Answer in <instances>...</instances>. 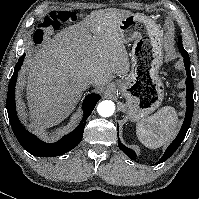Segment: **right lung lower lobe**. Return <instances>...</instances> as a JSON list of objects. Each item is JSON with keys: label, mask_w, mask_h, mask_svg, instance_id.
I'll return each mask as SVG.
<instances>
[{"label": "right lung lower lobe", "mask_w": 199, "mask_h": 199, "mask_svg": "<svg viewBox=\"0 0 199 199\" xmlns=\"http://www.w3.org/2000/svg\"><path fill=\"white\" fill-rule=\"evenodd\" d=\"M25 54H23L17 62L14 73L10 79L8 93H7V112L13 132L22 145V147L30 154L38 157H55L69 152L75 148L82 140L86 119L93 111L96 103L100 100V95L92 93L89 94L83 102L82 108L84 111L83 118L80 124L71 133L62 137L56 143H45L39 140L35 135L31 134L20 123L15 108V86L17 81L18 71L20 70Z\"/></svg>", "instance_id": "right-lung-lower-lobe-1"}]
</instances>
